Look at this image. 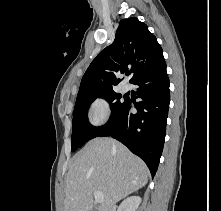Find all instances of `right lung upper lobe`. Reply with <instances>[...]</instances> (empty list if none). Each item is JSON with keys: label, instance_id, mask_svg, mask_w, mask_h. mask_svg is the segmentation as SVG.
Segmentation results:
<instances>
[{"label": "right lung upper lobe", "instance_id": "right-lung-upper-lobe-1", "mask_svg": "<svg viewBox=\"0 0 221 211\" xmlns=\"http://www.w3.org/2000/svg\"><path fill=\"white\" fill-rule=\"evenodd\" d=\"M164 64L162 48L147 26L135 17L121 20L112 45L101 51L86 70L77 98L113 91L121 81L116 76L127 72L128 67L132 83Z\"/></svg>", "mask_w": 221, "mask_h": 211}]
</instances>
